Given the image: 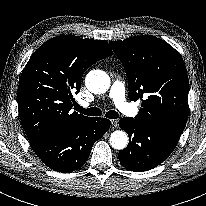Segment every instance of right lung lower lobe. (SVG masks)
<instances>
[{
    "label": "right lung lower lobe",
    "mask_w": 206,
    "mask_h": 206,
    "mask_svg": "<svg viewBox=\"0 0 206 206\" xmlns=\"http://www.w3.org/2000/svg\"><path fill=\"white\" fill-rule=\"evenodd\" d=\"M110 120L89 118L69 131L30 141L36 155L51 169L67 173L81 168L92 146L110 127Z\"/></svg>",
    "instance_id": "98d812e1"
}]
</instances>
